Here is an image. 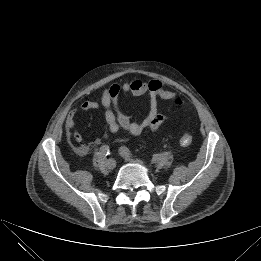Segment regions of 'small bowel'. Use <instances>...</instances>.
<instances>
[{"label": "small bowel", "instance_id": "obj_1", "mask_svg": "<svg viewBox=\"0 0 261 261\" xmlns=\"http://www.w3.org/2000/svg\"><path fill=\"white\" fill-rule=\"evenodd\" d=\"M134 95L148 97V112L146 117L141 121H132L120 108L119 96ZM175 97L173 91L163 87L161 81L151 79L143 81L141 79H133L130 81L117 82L106 88L101 96L100 101L87 100L84 101L80 110L88 112L91 110H103L104 120L108 131L112 134L124 133L127 136H139L145 130L156 131L160 125L166 120V116L159 112L158 101L170 100ZM76 110L68 113L65 119V129L67 136L76 143L75 151L79 155H86L89 147L82 144V135L75 129L74 117Z\"/></svg>", "mask_w": 261, "mask_h": 261}]
</instances>
